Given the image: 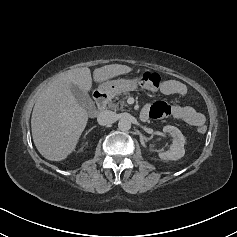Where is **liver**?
<instances>
[{"mask_svg": "<svg viewBox=\"0 0 237 237\" xmlns=\"http://www.w3.org/2000/svg\"><path fill=\"white\" fill-rule=\"evenodd\" d=\"M132 70L121 64L106 65L94 70L93 79L104 83ZM72 84L88 92L92 87L90 69L76 68L57 75L41 92L33 108V141L39 153L50 161L67 158L75 150L87 125L88 113L73 96L70 89Z\"/></svg>", "mask_w": 237, "mask_h": 237, "instance_id": "obj_1", "label": "liver"}]
</instances>
